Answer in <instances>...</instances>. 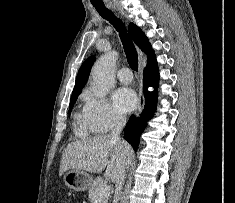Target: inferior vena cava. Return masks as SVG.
Instances as JSON below:
<instances>
[{
  "instance_id": "inferior-vena-cava-1",
  "label": "inferior vena cava",
  "mask_w": 235,
  "mask_h": 203,
  "mask_svg": "<svg viewBox=\"0 0 235 203\" xmlns=\"http://www.w3.org/2000/svg\"><path fill=\"white\" fill-rule=\"evenodd\" d=\"M126 124V118L122 115H116L113 120V129L110 133L112 139L121 142L120 133ZM125 181V169L122 170L118 180L115 182V203H117L118 195L121 192Z\"/></svg>"
}]
</instances>
